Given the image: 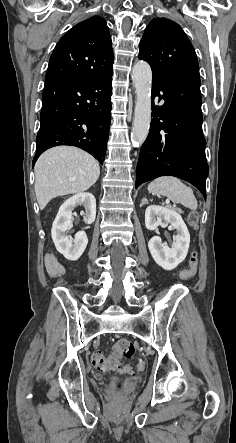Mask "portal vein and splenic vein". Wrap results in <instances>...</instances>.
I'll list each match as a JSON object with an SVG mask.
<instances>
[{
    "label": "portal vein and splenic vein",
    "mask_w": 236,
    "mask_h": 443,
    "mask_svg": "<svg viewBox=\"0 0 236 443\" xmlns=\"http://www.w3.org/2000/svg\"><path fill=\"white\" fill-rule=\"evenodd\" d=\"M167 205H169V201H166Z\"/></svg>",
    "instance_id": "1"
}]
</instances>
